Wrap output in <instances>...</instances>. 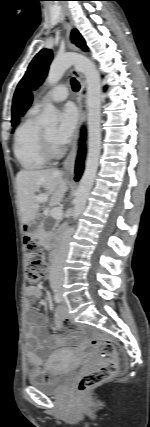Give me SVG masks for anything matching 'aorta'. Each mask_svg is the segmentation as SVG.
<instances>
[{
	"instance_id": "1",
	"label": "aorta",
	"mask_w": 150,
	"mask_h": 427,
	"mask_svg": "<svg viewBox=\"0 0 150 427\" xmlns=\"http://www.w3.org/2000/svg\"><path fill=\"white\" fill-rule=\"evenodd\" d=\"M71 66L85 76L87 86L88 153L85 170L76 191L73 210V219H76L85 208L98 169L101 150V83L95 64L80 54L58 55L50 65L47 83L55 85ZM39 121L46 128L57 126V111L51 103L46 104Z\"/></svg>"
}]
</instances>
